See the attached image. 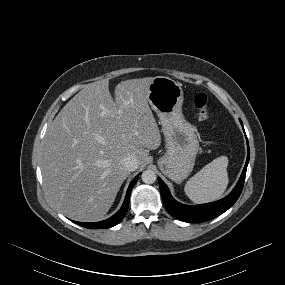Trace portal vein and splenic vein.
<instances>
[{"instance_id":"obj_1","label":"portal vein and splenic vein","mask_w":285,"mask_h":285,"mask_svg":"<svg viewBox=\"0 0 285 285\" xmlns=\"http://www.w3.org/2000/svg\"><path fill=\"white\" fill-rule=\"evenodd\" d=\"M122 111L121 110H118V113H121Z\"/></svg>"}]
</instances>
